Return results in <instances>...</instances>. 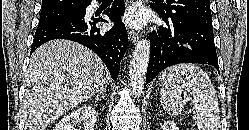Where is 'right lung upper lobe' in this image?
<instances>
[{"label":"right lung upper lobe","instance_id":"obj_1","mask_svg":"<svg viewBox=\"0 0 249 130\" xmlns=\"http://www.w3.org/2000/svg\"><path fill=\"white\" fill-rule=\"evenodd\" d=\"M90 2V0H42V11L71 9L81 3Z\"/></svg>","mask_w":249,"mask_h":130}]
</instances>
